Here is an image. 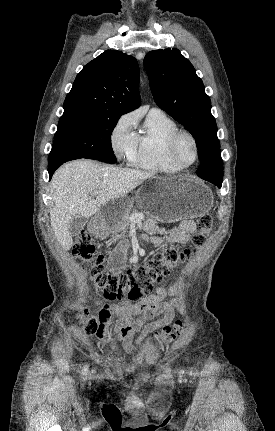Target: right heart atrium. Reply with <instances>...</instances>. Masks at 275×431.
Segmentation results:
<instances>
[{
  "instance_id": "obj_1",
  "label": "right heart atrium",
  "mask_w": 275,
  "mask_h": 431,
  "mask_svg": "<svg viewBox=\"0 0 275 431\" xmlns=\"http://www.w3.org/2000/svg\"><path fill=\"white\" fill-rule=\"evenodd\" d=\"M135 118L131 114L122 115L115 123L110 141L115 155L132 162L137 148V134L134 131Z\"/></svg>"
}]
</instances>
